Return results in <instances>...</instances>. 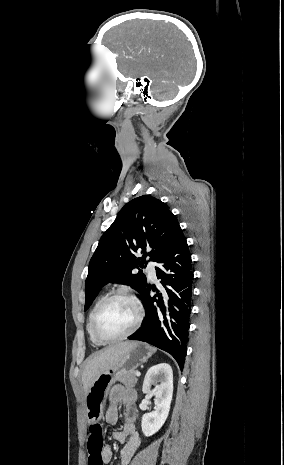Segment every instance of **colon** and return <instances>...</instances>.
I'll use <instances>...</instances> for the list:
<instances>
[{"label": "colon", "instance_id": "colon-1", "mask_svg": "<svg viewBox=\"0 0 284 465\" xmlns=\"http://www.w3.org/2000/svg\"><path fill=\"white\" fill-rule=\"evenodd\" d=\"M106 428L104 425L95 423L91 429L88 430V437L91 438L87 444V451L89 456L87 459L88 465H102L101 451L104 446L103 439L105 437Z\"/></svg>", "mask_w": 284, "mask_h": 465}]
</instances>
